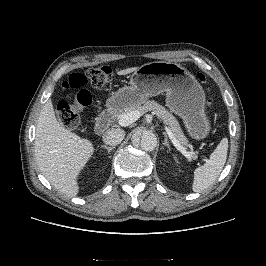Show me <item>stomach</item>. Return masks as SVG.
<instances>
[{
	"instance_id": "stomach-1",
	"label": "stomach",
	"mask_w": 266,
	"mask_h": 266,
	"mask_svg": "<svg viewBox=\"0 0 266 266\" xmlns=\"http://www.w3.org/2000/svg\"><path fill=\"white\" fill-rule=\"evenodd\" d=\"M166 93V106L182 118L193 139L207 137L210 123L205 114V93L187 68L180 64L155 61L139 67L130 85L119 89L107 100L111 110H122L144 104L149 97Z\"/></svg>"
}]
</instances>
